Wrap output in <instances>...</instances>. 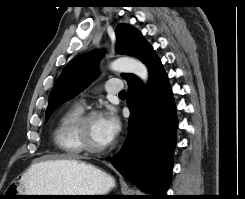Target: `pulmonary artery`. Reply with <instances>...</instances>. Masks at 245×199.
Here are the masks:
<instances>
[{
    "label": "pulmonary artery",
    "mask_w": 245,
    "mask_h": 199,
    "mask_svg": "<svg viewBox=\"0 0 245 199\" xmlns=\"http://www.w3.org/2000/svg\"><path fill=\"white\" fill-rule=\"evenodd\" d=\"M123 90V83L119 79H110L105 83V91L107 94H117Z\"/></svg>",
    "instance_id": "pulmonary-artery-1"
}]
</instances>
